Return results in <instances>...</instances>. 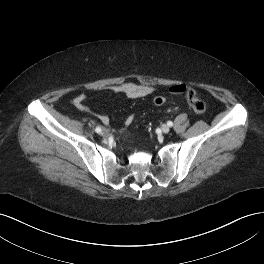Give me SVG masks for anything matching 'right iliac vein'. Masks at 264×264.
Returning a JSON list of instances; mask_svg holds the SVG:
<instances>
[{
    "label": "right iliac vein",
    "instance_id": "63e3f726",
    "mask_svg": "<svg viewBox=\"0 0 264 264\" xmlns=\"http://www.w3.org/2000/svg\"><path fill=\"white\" fill-rule=\"evenodd\" d=\"M102 136L106 137L108 135V131L107 130H103L101 133Z\"/></svg>",
    "mask_w": 264,
    "mask_h": 264
}]
</instances>
